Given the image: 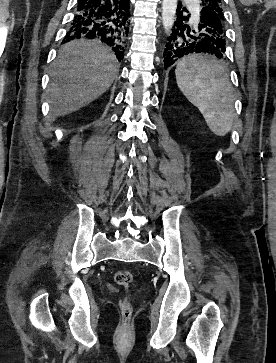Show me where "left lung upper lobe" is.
<instances>
[{
  "mask_svg": "<svg viewBox=\"0 0 276 363\" xmlns=\"http://www.w3.org/2000/svg\"><path fill=\"white\" fill-rule=\"evenodd\" d=\"M201 6L203 8H209L213 11V13L217 16L220 24H222L223 33L221 34V37L224 38V41L226 42L225 38V18H224V12L222 8L221 0H201Z\"/></svg>",
  "mask_w": 276,
  "mask_h": 363,
  "instance_id": "obj_1",
  "label": "left lung upper lobe"
}]
</instances>
